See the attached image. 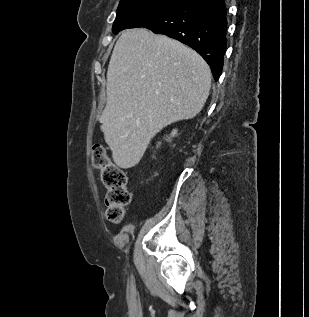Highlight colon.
<instances>
[{
  "label": "colon",
  "mask_w": 309,
  "mask_h": 317,
  "mask_svg": "<svg viewBox=\"0 0 309 317\" xmlns=\"http://www.w3.org/2000/svg\"><path fill=\"white\" fill-rule=\"evenodd\" d=\"M92 165L101 171V180L107 189L106 217L112 223H119L131 201L126 173L111 161L105 149L99 144L93 146Z\"/></svg>",
  "instance_id": "1"
}]
</instances>
